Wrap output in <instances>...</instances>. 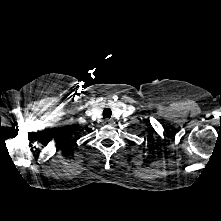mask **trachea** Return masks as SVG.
I'll use <instances>...</instances> for the list:
<instances>
[{
  "mask_svg": "<svg viewBox=\"0 0 221 221\" xmlns=\"http://www.w3.org/2000/svg\"><path fill=\"white\" fill-rule=\"evenodd\" d=\"M111 115H112V112H111V110H110L109 108H105V109L103 110V117H104V118H110Z\"/></svg>",
  "mask_w": 221,
  "mask_h": 221,
  "instance_id": "trachea-1",
  "label": "trachea"
}]
</instances>
